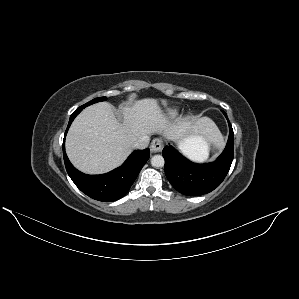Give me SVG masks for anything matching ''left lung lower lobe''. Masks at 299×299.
<instances>
[{
	"label": "left lung lower lobe",
	"mask_w": 299,
	"mask_h": 299,
	"mask_svg": "<svg viewBox=\"0 0 299 299\" xmlns=\"http://www.w3.org/2000/svg\"><path fill=\"white\" fill-rule=\"evenodd\" d=\"M222 112L227 118L226 113ZM228 124L230 133L227 145L215 162L196 164L184 158L172 146L164 147L165 175L177 191L188 196L202 195L213 191L224 180L234 156V133L229 120Z\"/></svg>",
	"instance_id": "1"
}]
</instances>
